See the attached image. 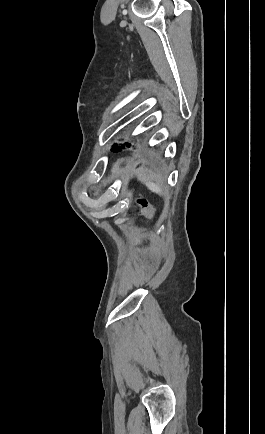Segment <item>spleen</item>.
<instances>
[{"label": "spleen", "instance_id": "1", "mask_svg": "<svg viewBox=\"0 0 265 434\" xmlns=\"http://www.w3.org/2000/svg\"><path fill=\"white\" fill-rule=\"evenodd\" d=\"M142 182H144L145 186H147L148 190H151V192H155V194H159V196H162V188L160 184H156V182H153V180H150V178H142Z\"/></svg>", "mask_w": 265, "mask_h": 434}]
</instances>
